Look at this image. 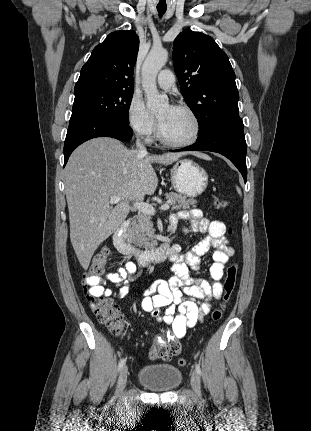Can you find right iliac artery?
Masks as SVG:
<instances>
[{"label":"right iliac artery","mask_w":311,"mask_h":431,"mask_svg":"<svg viewBox=\"0 0 311 431\" xmlns=\"http://www.w3.org/2000/svg\"><path fill=\"white\" fill-rule=\"evenodd\" d=\"M124 364H125V359L122 358L120 360L119 364H118V371H121V369L123 368Z\"/></svg>","instance_id":"obj_1"}]
</instances>
